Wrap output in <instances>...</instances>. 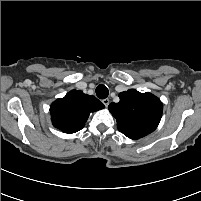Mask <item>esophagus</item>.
<instances>
[{"instance_id":"obj_1","label":"esophagus","mask_w":201,"mask_h":201,"mask_svg":"<svg viewBox=\"0 0 201 201\" xmlns=\"http://www.w3.org/2000/svg\"><path fill=\"white\" fill-rule=\"evenodd\" d=\"M103 104L105 105V107H108L110 100L108 98H105L102 100Z\"/></svg>"}]
</instances>
